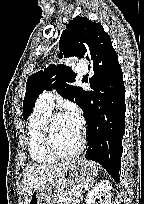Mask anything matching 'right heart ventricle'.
<instances>
[{"label":"right heart ventricle","instance_id":"obj_1","mask_svg":"<svg viewBox=\"0 0 144 204\" xmlns=\"http://www.w3.org/2000/svg\"><path fill=\"white\" fill-rule=\"evenodd\" d=\"M50 114L51 109L37 103L28 120V151L32 161L37 164H49L56 159L48 153L44 144V128Z\"/></svg>","mask_w":144,"mask_h":204}]
</instances>
